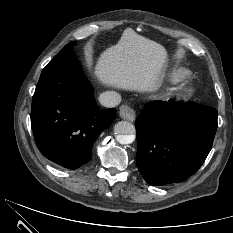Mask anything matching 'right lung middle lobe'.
<instances>
[{
    "mask_svg": "<svg viewBox=\"0 0 233 233\" xmlns=\"http://www.w3.org/2000/svg\"><path fill=\"white\" fill-rule=\"evenodd\" d=\"M75 43H76V41L67 44L61 51H63V50H73V46L75 45Z\"/></svg>",
    "mask_w": 233,
    "mask_h": 233,
    "instance_id": "1",
    "label": "right lung middle lobe"
}]
</instances>
